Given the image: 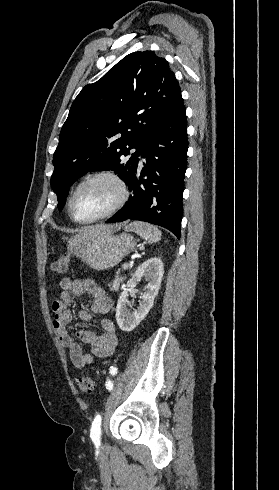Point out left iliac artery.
I'll list each match as a JSON object with an SVG mask.
<instances>
[{"label":"left iliac artery","instance_id":"1","mask_svg":"<svg viewBox=\"0 0 279 490\" xmlns=\"http://www.w3.org/2000/svg\"><path fill=\"white\" fill-rule=\"evenodd\" d=\"M116 373H117V368L111 367L110 368V374L115 375ZM106 388L108 390H112L113 383L110 380L106 381ZM101 420H102L101 416L96 415V417L94 418V420L92 422V427H91V432H90V437H91L92 441L94 442V444L96 445L97 448H98V446H100Z\"/></svg>","mask_w":279,"mask_h":490}]
</instances>
